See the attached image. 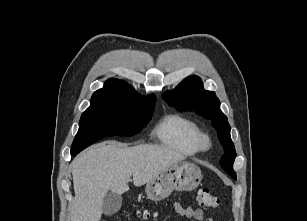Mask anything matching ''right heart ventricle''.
<instances>
[{
  "instance_id": "1",
  "label": "right heart ventricle",
  "mask_w": 307,
  "mask_h": 221,
  "mask_svg": "<svg viewBox=\"0 0 307 221\" xmlns=\"http://www.w3.org/2000/svg\"><path fill=\"white\" fill-rule=\"evenodd\" d=\"M160 143L170 150L191 156L198 153L199 126L191 119L178 114L166 116L154 131Z\"/></svg>"
}]
</instances>
